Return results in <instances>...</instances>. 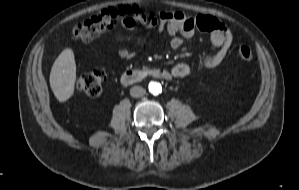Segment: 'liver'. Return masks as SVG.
<instances>
[{
	"label": "liver",
	"instance_id": "liver-1",
	"mask_svg": "<svg viewBox=\"0 0 299 190\" xmlns=\"http://www.w3.org/2000/svg\"><path fill=\"white\" fill-rule=\"evenodd\" d=\"M76 81V63L71 49H65L55 60L50 73V86L55 97L64 102L73 92Z\"/></svg>",
	"mask_w": 299,
	"mask_h": 190
}]
</instances>
